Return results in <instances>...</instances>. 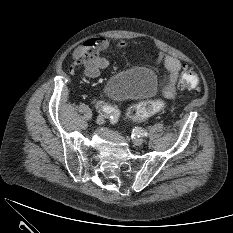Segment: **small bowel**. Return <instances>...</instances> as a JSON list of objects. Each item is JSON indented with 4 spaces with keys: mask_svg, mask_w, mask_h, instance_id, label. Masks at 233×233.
I'll list each match as a JSON object with an SVG mask.
<instances>
[{
    "mask_svg": "<svg viewBox=\"0 0 233 233\" xmlns=\"http://www.w3.org/2000/svg\"><path fill=\"white\" fill-rule=\"evenodd\" d=\"M96 43L101 50H105L110 45V40L107 38H96L91 40ZM125 45L124 41H118L117 46L123 47ZM83 48H79L74 53L75 61H78L82 56ZM157 64L163 63L167 72L168 80L163 89V94L167 99H173L177 93V84L181 76L182 65L178 59L170 55H164L162 52H158L156 59ZM108 65V59L106 57H98L94 61L87 64L85 68V74L90 78H95L99 76L101 71Z\"/></svg>",
    "mask_w": 233,
    "mask_h": 233,
    "instance_id": "obj_1",
    "label": "small bowel"
}]
</instances>
